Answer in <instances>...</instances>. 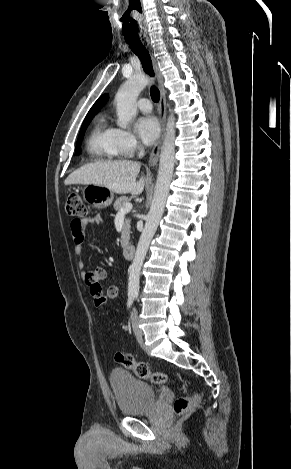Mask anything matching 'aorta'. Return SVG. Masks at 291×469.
Listing matches in <instances>:
<instances>
[{"label": "aorta", "instance_id": "762f6f07", "mask_svg": "<svg viewBox=\"0 0 291 469\" xmlns=\"http://www.w3.org/2000/svg\"><path fill=\"white\" fill-rule=\"evenodd\" d=\"M148 78L143 75H134L129 78L118 90L115 101L117 109V125L127 128L136 116V100L140 92L148 85ZM175 118L170 114L167 120L166 133L160 153L158 178L150 211L146 218L145 227L140 236L136 253L130 268L128 279V293L139 292L140 272L148 251L149 244L157 230L159 221L164 213L169 185L172 179L175 162Z\"/></svg>", "mask_w": 291, "mask_h": 469}]
</instances>
